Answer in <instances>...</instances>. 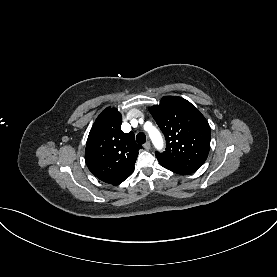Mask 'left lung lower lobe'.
<instances>
[{"label":"left lung lower lobe","instance_id":"0a47b994","mask_svg":"<svg viewBox=\"0 0 277 277\" xmlns=\"http://www.w3.org/2000/svg\"><path fill=\"white\" fill-rule=\"evenodd\" d=\"M178 174H189V173H178Z\"/></svg>","mask_w":277,"mask_h":277}]
</instances>
